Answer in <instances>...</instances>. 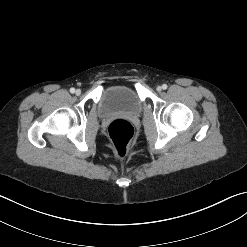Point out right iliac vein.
Listing matches in <instances>:
<instances>
[{"mask_svg":"<svg viewBox=\"0 0 247 247\" xmlns=\"http://www.w3.org/2000/svg\"><path fill=\"white\" fill-rule=\"evenodd\" d=\"M75 93H76V95H80L81 94V90L77 89Z\"/></svg>","mask_w":247,"mask_h":247,"instance_id":"right-iliac-vein-1","label":"right iliac vein"}]
</instances>
